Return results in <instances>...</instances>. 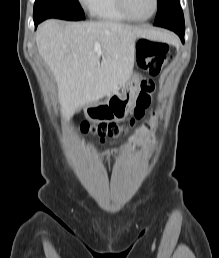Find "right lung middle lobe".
<instances>
[{
	"label": "right lung middle lobe",
	"instance_id": "right-lung-middle-lobe-1",
	"mask_svg": "<svg viewBox=\"0 0 219 258\" xmlns=\"http://www.w3.org/2000/svg\"><path fill=\"white\" fill-rule=\"evenodd\" d=\"M54 13L65 16H84L78 0H35L33 19L43 21L47 18L57 17Z\"/></svg>",
	"mask_w": 219,
	"mask_h": 258
}]
</instances>
